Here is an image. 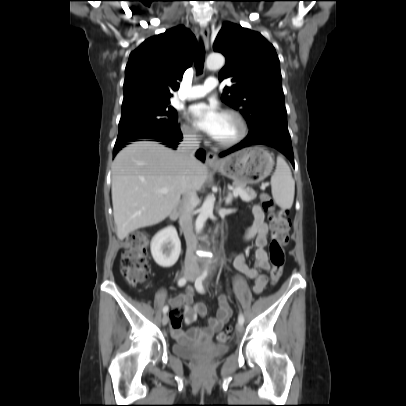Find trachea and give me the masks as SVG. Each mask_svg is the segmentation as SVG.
<instances>
[{
	"label": "trachea",
	"instance_id": "trachea-1",
	"mask_svg": "<svg viewBox=\"0 0 406 406\" xmlns=\"http://www.w3.org/2000/svg\"><path fill=\"white\" fill-rule=\"evenodd\" d=\"M204 59H205V49L202 42H200L199 45L197 46L194 56V65L197 74H201L203 72Z\"/></svg>",
	"mask_w": 406,
	"mask_h": 406
}]
</instances>
